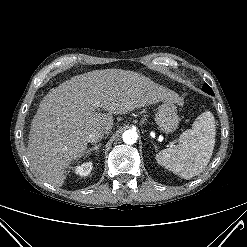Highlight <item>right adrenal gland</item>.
Wrapping results in <instances>:
<instances>
[{"instance_id":"1","label":"right adrenal gland","mask_w":247,"mask_h":247,"mask_svg":"<svg viewBox=\"0 0 247 247\" xmlns=\"http://www.w3.org/2000/svg\"><path fill=\"white\" fill-rule=\"evenodd\" d=\"M100 146H101V143H98V144H96L94 147H91L90 149H88V150L85 152L86 156H87V155H90L91 152H93V151L98 152Z\"/></svg>"}]
</instances>
